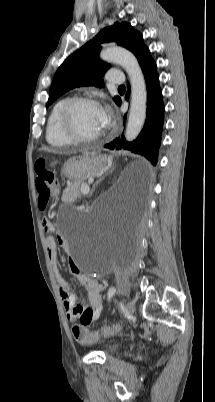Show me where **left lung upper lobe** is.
I'll use <instances>...</instances> for the list:
<instances>
[{
	"mask_svg": "<svg viewBox=\"0 0 215 402\" xmlns=\"http://www.w3.org/2000/svg\"><path fill=\"white\" fill-rule=\"evenodd\" d=\"M105 42H116L130 50L140 66L152 58L142 35L129 23L116 22L113 26L101 30L95 38L72 53L58 68L51 84L46 107L75 87L104 86L102 76L110 68V64L102 62L98 55L101 50L100 44ZM119 100V97H114L116 103Z\"/></svg>",
	"mask_w": 215,
	"mask_h": 402,
	"instance_id": "5c2ea615",
	"label": "left lung upper lobe"
}]
</instances>
